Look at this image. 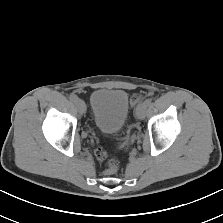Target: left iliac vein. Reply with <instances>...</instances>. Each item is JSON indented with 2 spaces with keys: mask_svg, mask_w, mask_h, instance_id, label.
<instances>
[{
  "mask_svg": "<svg viewBox=\"0 0 223 223\" xmlns=\"http://www.w3.org/2000/svg\"><path fill=\"white\" fill-rule=\"evenodd\" d=\"M146 107L144 103L138 105L135 113L137 119L142 120L145 117Z\"/></svg>",
  "mask_w": 223,
  "mask_h": 223,
  "instance_id": "left-iliac-vein-1",
  "label": "left iliac vein"
}]
</instances>
